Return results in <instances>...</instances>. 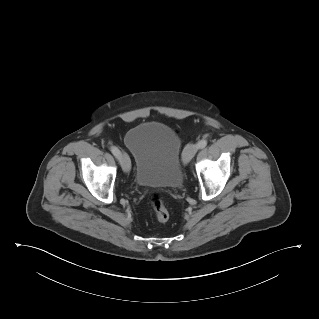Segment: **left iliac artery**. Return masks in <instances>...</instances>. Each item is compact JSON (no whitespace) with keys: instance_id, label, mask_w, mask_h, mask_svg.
<instances>
[{"instance_id":"1","label":"left iliac artery","mask_w":319,"mask_h":319,"mask_svg":"<svg viewBox=\"0 0 319 319\" xmlns=\"http://www.w3.org/2000/svg\"><path fill=\"white\" fill-rule=\"evenodd\" d=\"M198 148L199 149H203V148H205L206 146H207V140H205V139H202V140H200L199 142H198Z\"/></svg>"}]
</instances>
